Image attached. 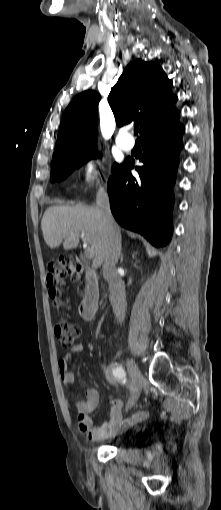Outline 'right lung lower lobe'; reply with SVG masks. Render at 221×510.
<instances>
[{
  "mask_svg": "<svg viewBox=\"0 0 221 510\" xmlns=\"http://www.w3.org/2000/svg\"><path fill=\"white\" fill-rule=\"evenodd\" d=\"M179 118L141 136L144 165L135 167L139 178L130 173L134 162L127 159L108 180L111 211L117 222L155 247L166 246L172 235V187L185 132Z\"/></svg>",
  "mask_w": 221,
  "mask_h": 510,
  "instance_id": "obj_1",
  "label": "right lung lower lobe"
}]
</instances>
